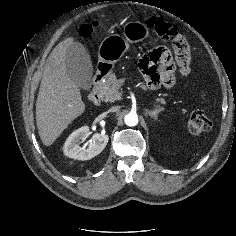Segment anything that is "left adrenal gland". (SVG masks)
Listing matches in <instances>:
<instances>
[{
    "instance_id": "left-adrenal-gland-1",
    "label": "left adrenal gland",
    "mask_w": 236,
    "mask_h": 236,
    "mask_svg": "<svg viewBox=\"0 0 236 236\" xmlns=\"http://www.w3.org/2000/svg\"><path fill=\"white\" fill-rule=\"evenodd\" d=\"M163 110V108L155 109L153 111H147L148 115L155 120L157 119V115Z\"/></svg>"
}]
</instances>
